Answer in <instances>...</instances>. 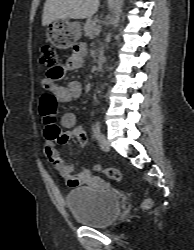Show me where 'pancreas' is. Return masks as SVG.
Masks as SVG:
<instances>
[{
  "mask_svg": "<svg viewBox=\"0 0 194 250\" xmlns=\"http://www.w3.org/2000/svg\"><path fill=\"white\" fill-rule=\"evenodd\" d=\"M97 19L88 18L84 24V32L86 36H92L95 34L96 30L99 29L97 24Z\"/></svg>",
  "mask_w": 194,
  "mask_h": 250,
  "instance_id": "1",
  "label": "pancreas"
}]
</instances>
